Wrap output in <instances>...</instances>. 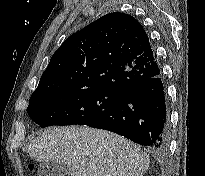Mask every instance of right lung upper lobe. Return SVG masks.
Listing matches in <instances>:
<instances>
[{"label": "right lung upper lobe", "instance_id": "1", "mask_svg": "<svg viewBox=\"0 0 205 176\" xmlns=\"http://www.w3.org/2000/svg\"><path fill=\"white\" fill-rule=\"evenodd\" d=\"M158 74L142 25L131 15L109 13L63 42L31 96L87 88L123 92Z\"/></svg>", "mask_w": 205, "mask_h": 176}]
</instances>
